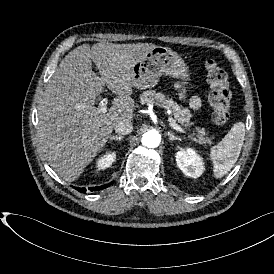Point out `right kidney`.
Wrapping results in <instances>:
<instances>
[{
	"label": "right kidney",
	"instance_id": "1",
	"mask_svg": "<svg viewBox=\"0 0 274 274\" xmlns=\"http://www.w3.org/2000/svg\"><path fill=\"white\" fill-rule=\"evenodd\" d=\"M116 161V152L115 151H106L104 155L100 156L96 160V169L105 170L109 168Z\"/></svg>",
	"mask_w": 274,
	"mask_h": 274
}]
</instances>
